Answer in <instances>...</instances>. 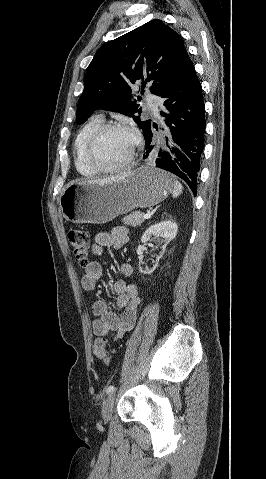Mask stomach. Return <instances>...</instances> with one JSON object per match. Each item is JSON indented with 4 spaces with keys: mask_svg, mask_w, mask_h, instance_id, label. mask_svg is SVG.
I'll return each mask as SVG.
<instances>
[{
    "mask_svg": "<svg viewBox=\"0 0 266 479\" xmlns=\"http://www.w3.org/2000/svg\"><path fill=\"white\" fill-rule=\"evenodd\" d=\"M172 187L173 178L169 173L142 166L120 181L68 185L60 197V208L70 222L102 224L135 208L162 202Z\"/></svg>",
    "mask_w": 266,
    "mask_h": 479,
    "instance_id": "stomach-1",
    "label": "stomach"
}]
</instances>
